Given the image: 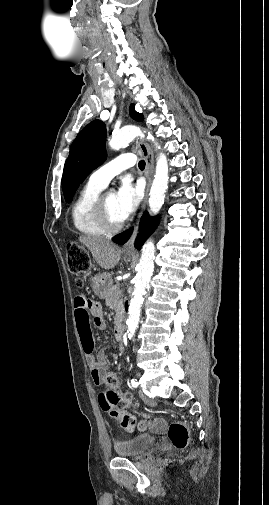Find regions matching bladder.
Wrapping results in <instances>:
<instances>
[{
    "label": "bladder",
    "mask_w": 269,
    "mask_h": 505,
    "mask_svg": "<svg viewBox=\"0 0 269 505\" xmlns=\"http://www.w3.org/2000/svg\"><path fill=\"white\" fill-rule=\"evenodd\" d=\"M156 442V438L149 434H139L132 438L117 441L114 444V451L118 457H141Z\"/></svg>",
    "instance_id": "1"
}]
</instances>
